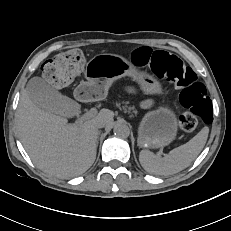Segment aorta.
Segmentation results:
<instances>
[{
  "instance_id": "1",
  "label": "aorta",
  "mask_w": 231,
  "mask_h": 231,
  "mask_svg": "<svg viewBox=\"0 0 231 231\" xmlns=\"http://www.w3.org/2000/svg\"><path fill=\"white\" fill-rule=\"evenodd\" d=\"M114 135L119 138H127L130 135V129L126 124L118 123L114 127Z\"/></svg>"
}]
</instances>
